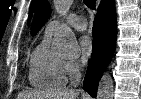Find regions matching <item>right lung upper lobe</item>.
Returning a JSON list of instances; mask_svg holds the SVG:
<instances>
[{
	"label": "right lung upper lobe",
	"mask_w": 141,
	"mask_h": 99,
	"mask_svg": "<svg viewBox=\"0 0 141 99\" xmlns=\"http://www.w3.org/2000/svg\"><path fill=\"white\" fill-rule=\"evenodd\" d=\"M51 14V7L47 0H38L35 17L32 24V35H35Z\"/></svg>",
	"instance_id": "cb5924a9"
}]
</instances>
